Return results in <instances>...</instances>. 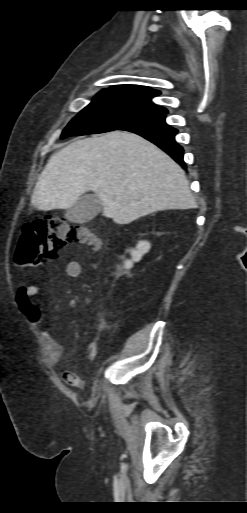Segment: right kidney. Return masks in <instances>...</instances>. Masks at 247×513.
<instances>
[{
  "mask_svg": "<svg viewBox=\"0 0 247 513\" xmlns=\"http://www.w3.org/2000/svg\"><path fill=\"white\" fill-rule=\"evenodd\" d=\"M151 248V244L148 241H139L135 249L130 250L131 259L124 261V268L130 269L133 267L134 262H138L142 259L143 255L147 253Z\"/></svg>",
  "mask_w": 247,
  "mask_h": 513,
  "instance_id": "right-kidney-1",
  "label": "right kidney"
}]
</instances>
